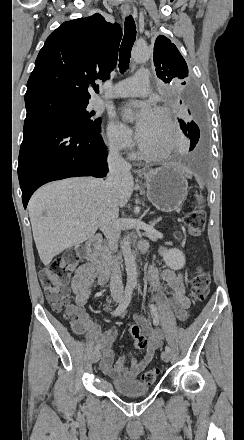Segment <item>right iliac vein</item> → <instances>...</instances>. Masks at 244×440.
I'll return each instance as SVG.
<instances>
[{
    "label": "right iliac vein",
    "instance_id": "right-iliac-vein-1",
    "mask_svg": "<svg viewBox=\"0 0 244 440\" xmlns=\"http://www.w3.org/2000/svg\"><path fill=\"white\" fill-rule=\"evenodd\" d=\"M114 300H115L116 302H119V301H120V299L117 298V297H115ZM100 357H101V352L98 351V350H96V351L93 352L92 357H91V360H92L93 363H97V362L99 361Z\"/></svg>",
    "mask_w": 244,
    "mask_h": 440
}]
</instances>
